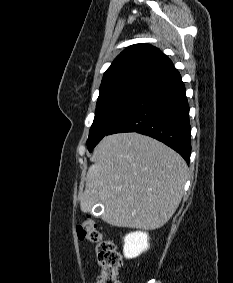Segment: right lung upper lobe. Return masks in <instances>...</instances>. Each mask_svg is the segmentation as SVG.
<instances>
[{"mask_svg":"<svg viewBox=\"0 0 233 283\" xmlns=\"http://www.w3.org/2000/svg\"><path fill=\"white\" fill-rule=\"evenodd\" d=\"M172 69V61L158 48L135 44L121 52L105 71L100 90L130 80L152 81Z\"/></svg>","mask_w":233,"mask_h":283,"instance_id":"1","label":"right lung upper lobe"}]
</instances>
